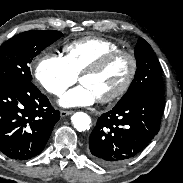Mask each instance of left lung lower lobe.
<instances>
[{
	"label": "left lung lower lobe",
	"mask_w": 183,
	"mask_h": 183,
	"mask_svg": "<svg viewBox=\"0 0 183 183\" xmlns=\"http://www.w3.org/2000/svg\"><path fill=\"white\" fill-rule=\"evenodd\" d=\"M164 95L143 94L117 103L102 114L89 138L91 157L115 166L141 152L160 129Z\"/></svg>",
	"instance_id": "left-lung-lower-lobe-1"
}]
</instances>
